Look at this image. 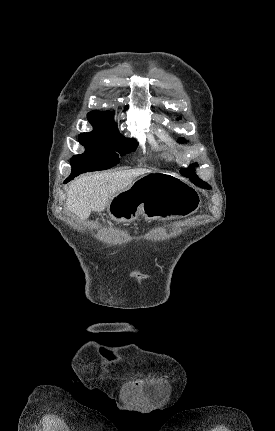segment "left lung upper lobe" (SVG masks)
Wrapping results in <instances>:
<instances>
[{
  "label": "left lung upper lobe",
  "mask_w": 275,
  "mask_h": 431,
  "mask_svg": "<svg viewBox=\"0 0 275 431\" xmlns=\"http://www.w3.org/2000/svg\"><path fill=\"white\" fill-rule=\"evenodd\" d=\"M179 142H183L184 141V139L183 138H180L179 140H178ZM194 166H198V164L197 163H195L194 165H191L188 169H182L180 172H181V174L182 175H184V176H186V177H188V178H198L197 176H196V174H195V172H194Z\"/></svg>",
  "instance_id": "obj_1"
}]
</instances>
